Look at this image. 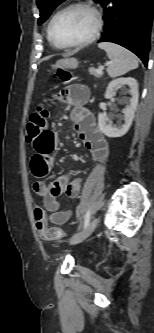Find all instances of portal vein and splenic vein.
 Segmentation results:
<instances>
[{"label":"portal vein and splenic vein","mask_w":154,"mask_h":333,"mask_svg":"<svg viewBox=\"0 0 154 333\" xmlns=\"http://www.w3.org/2000/svg\"><path fill=\"white\" fill-rule=\"evenodd\" d=\"M103 69H104V66H99L98 69H97V71H98L99 73H102Z\"/></svg>","instance_id":"1"}]
</instances>
